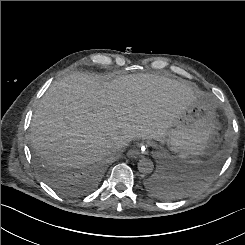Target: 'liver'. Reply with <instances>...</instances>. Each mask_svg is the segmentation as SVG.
<instances>
[{
    "mask_svg": "<svg viewBox=\"0 0 245 245\" xmlns=\"http://www.w3.org/2000/svg\"><path fill=\"white\" fill-rule=\"evenodd\" d=\"M199 96L189 83L154 74L110 82L76 72L53 83L31 122L39 156L60 167H82L113 153L119 140L161 141Z\"/></svg>",
    "mask_w": 245,
    "mask_h": 245,
    "instance_id": "1",
    "label": "liver"
}]
</instances>
